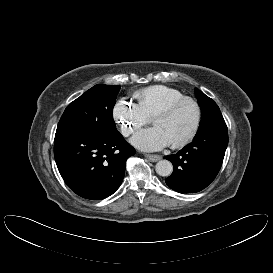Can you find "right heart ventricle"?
Returning a JSON list of instances; mask_svg holds the SVG:
<instances>
[{"mask_svg": "<svg viewBox=\"0 0 273 273\" xmlns=\"http://www.w3.org/2000/svg\"><path fill=\"white\" fill-rule=\"evenodd\" d=\"M134 97L137 100V106L152 120L167 104L184 97V95L177 89L168 86L153 85L137 91Z\"/></svg>", "mask_w": 273, "mask_h": 273, "instance_id": "1", "label": "right heart ventricle"}]
</instances>
